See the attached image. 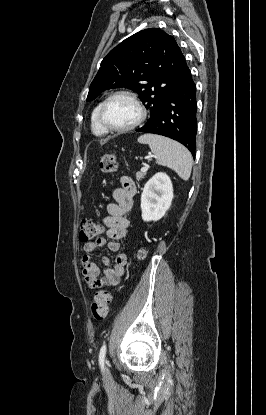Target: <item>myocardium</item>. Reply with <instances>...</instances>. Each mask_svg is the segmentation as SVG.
Listing matches in <instances>:
<instances>
[{
    "instance_id": "f54148a6",
    "label": "myocardium",
    "mask_w": 266,
    "mask_h": 415,
    "mask_svg": "<svg viewBox=\"0 0 266 415\" xmlns=\"http://www.w3.org/2000/svg\"><path fill=\"white\" fill-rule=\"evenodd\" d=\"M120 96H124L129 98L138 108L139 111V115L138 118L130 125L125 126V127H113L111 125H109L105 119V110L106 107L108 105V103L116 98V97H120ZM147 115V111L146 108L144 107L143 103L141 102V100L139 99V97L137 96V94H135L132 91L129 90H118L113 92L112 94H110L101 104L100 107V111H99V121L100 124L102 125V127L107 131V132H115V133H123V132H128L131 131L135 128H137L139 125L142 124V122L145 120Z\"/></svg>"
}]
</instances>
